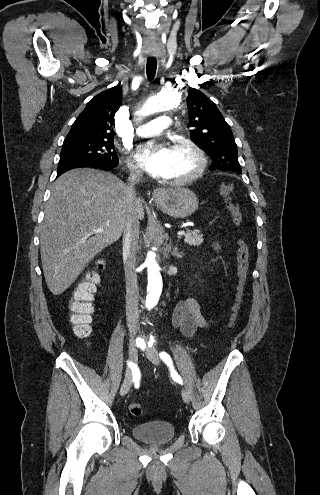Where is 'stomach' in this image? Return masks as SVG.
I'll return each instance as SVG.
<instances>
[{
  "instance_id": "stomach-1",
  "label": "stomach",
  "mask_w": 320,
  "mask_h": 495,
  "mask_svg": "<svg viewBox=\"0 0 320 495\" xmlns=\"http://www.w3.org/2000/svg\"><path fill=\"white\" fill-rule=\"evenodd\" d=\"M155 202L159 209L174 218L191 216L198 209L199 204L196 195L186 188L165 190Z\"/></svg>"
}]
</instances>
